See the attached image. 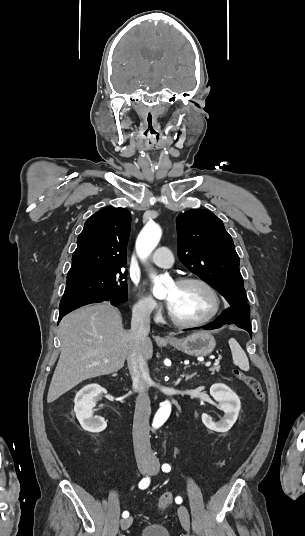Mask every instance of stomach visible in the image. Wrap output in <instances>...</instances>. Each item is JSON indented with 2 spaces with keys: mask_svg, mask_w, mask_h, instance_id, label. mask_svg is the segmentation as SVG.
Here are the masks:
<instances>
[{
  "mask_svg": "<svg viewBox=\"0 0 305 536\" xmlns=\"http://www.w3.org/2000/svg\"><path fill=\"white\" fill-rule=\"evenodd\" d=\"M169 344L188 356H198V358L208 356L216 346L215 338L210 332H195V334L182 338V340L174 338V340H170Z\"/></svg>",
  "mask_w": 305,
  "mask_h": 536,
  "instance_id": "obj_1",
  "label": "stomach"
}]
</instances>
